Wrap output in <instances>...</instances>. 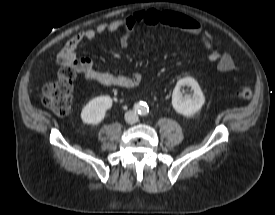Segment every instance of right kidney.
I'll list each match as a JSON object with an SVG mask.
<instances>
[{
	"label": "right kidney",
	"instance_id": "right-kidney-1",
	"mask_svg": "<svg viewBox=\"0 0 275 215\" xmlns=\"http://www.w3.org/2000/svg\"><path fill=\"white\" fill-rule=\"evenodd\" d=\"M111 107L110 96L96 97L82 109L81 119L86 124H99L104 119L106 111Z\"/></svg>",
	"mask_w": 275,
	"mask_h": 215
}]
</instances>
